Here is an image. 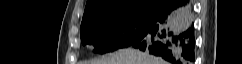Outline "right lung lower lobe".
Returning <instances> with one entry per match:
<instances>
[{
  "label": "right lung lower lobe",
  "instance_id": "1",
  "mask_svg": "<svg viewBox=\"0 0 242 64\" xmlns=\"http://www.w3.org/2000/svg\"><path fill=\"white\" fill-rule=\"evenodd\" d=\"M130 46L170 64H193L195 36L189 0H166L157 21Z\"/></svg>",
  "mask_w": 242,
  "mask_h": 64
}]
</instances>
